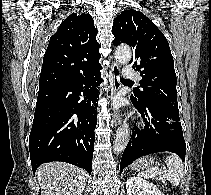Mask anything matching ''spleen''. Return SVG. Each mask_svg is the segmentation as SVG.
<instances>
[{"instance_id": "3e777b00", "label": "spleen", "mask_w": 211, "mask_h": 195, "mask_svg": "<svg viewBox=\"0 0 211 195\" xmlns=\"http://www.w3.org/2000/svg\"><path fill=\"white\" fill-rule=\"evenodd\" d=\"M167 170H160L158 167L146 170L144 176L149 178L167 179L172 185L176 186L180 183L184 175V166L182 160L172 154L166 157Z\"/></svg>"}]
</instances>
